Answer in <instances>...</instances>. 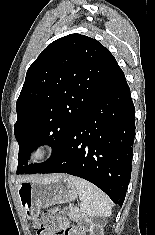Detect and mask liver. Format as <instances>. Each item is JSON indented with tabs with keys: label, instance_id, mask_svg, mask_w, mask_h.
Masks as SVG:
<instances>
[{
	"label": "liver",
	"instance_id": "6515ba94",
	"mask_svg": "<svg viewBox=\"0 0 155 235\" xmlns=\"http://www.w3.org/2000/svg\"><path fill=\"white\" fill-rule=\"evenodd\" d=\"M38 179H41V178L37 177V176H29V177H26V178L18 179L17 183L26 182V181H34V180H38Z\"/></svg>",
	"mask_w": 155,
	"mask_h": 235
}]
</instances>
